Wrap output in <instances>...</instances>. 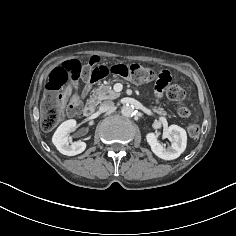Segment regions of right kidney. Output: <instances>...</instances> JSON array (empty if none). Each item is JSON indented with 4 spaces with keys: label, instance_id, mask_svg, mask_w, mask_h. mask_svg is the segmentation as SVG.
<instances>
[{
    "label": "right kidney",
    "instance_id": "ca27d5eb",
    "mask_svg": "<svg viewBox=\"0 0 236 236\" xmlns=\"http://www.w3.org/2000/svg\"><path fill=\"white\" fill-rule=\"evenodd\" d=\"M77 122L74 119L64 121L55 131L52 142L56 146L57 150L68 156H74L82 153L86 149V143L79 140L71 142L68 137V134L71 131H74L76 128Z\"/></svg>",
    "mask_w": 236,
    "mask_h": 236
}]
</instances>
